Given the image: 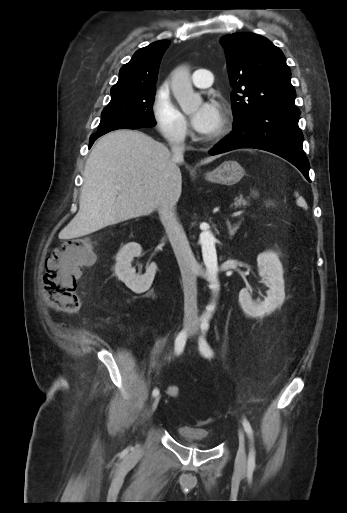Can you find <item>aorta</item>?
Here are the masks:
<instances>
[{
  "label": "aorta",
  "mask_w": 347,
  "mask_h": 513,
  "mask_svg": "<svg viewBox=\"0 0 347 513\" xmlns=\"http://www.w3.org/2000/svg\"><path fill=\"white\" fill-rule=\"evenodd\" d=\"M171 89L179 103L182 111L186 114L193 112L202 103V98L193 90L190 72L186 66L177 67L172 73ZM215 237L209 230L201 233L200 243L202 247V256L207 269L210 288L218 292L220 285L217 279L218 263L215 248ZM215 305H209L206 313L203 315L205 320L211 317Z\"/></svg>",
  "instance_id": "1"
}]
</instances>
